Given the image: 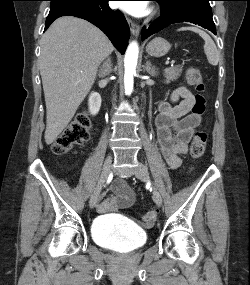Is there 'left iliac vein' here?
<instances>
[{
	"instance_id": "left-iliac-vein-1",
	"label": "left iliac vein",
	"mask_w": 250,
	"mask_h": 285,
	"mask_svg": "<svg viewBox=\"0 0 250 285\" xmlns=\"http://www.w3.org/2000/svg\"><path fill=\"white\" fill-rule=\"evenodd\" d=\"M135 176L141 180V181H144V182H148L150 181V178H149V174H148V170L147 168L141 164V163H138L137 165V168L135 170ZM152 197H153V200L154 202L158 205V206H161L162 205V198H161V195L158 191V189L155 187V186H152Z\"/></svg>"
}]
</instances>
